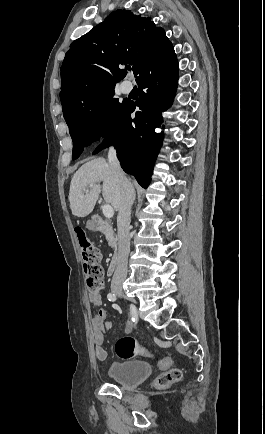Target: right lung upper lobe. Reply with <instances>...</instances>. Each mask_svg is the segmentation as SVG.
<instances>
[{
  "label": "right lung upper lobe",
  "instance_id": "cb5924a9",
  "mask_svg": "<svg viewBox=\"0 0 265 434\" xmlns=\"http://www.w3.org/2000/svg\"><path fill=\"white\" fill-rule=\"evenodd\" d=\"M170 50L173 46L164 29L151 17L116 10L70 45L60 68L61 102L119 82L128 65L138 77L146 63Z\"/></svg>",
  "mask_w": 265,
  "mask_h": 434
}]
</instances>
